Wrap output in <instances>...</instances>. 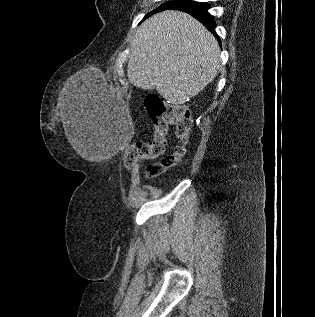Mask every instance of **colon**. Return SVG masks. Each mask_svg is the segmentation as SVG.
Returning <instances> with one entry per match:
<instances>
[{
    "instance_id": "1",
    "label": "colon",
    "mask_w": 315,
    "mask_h": 317,
    "mask_svg": "<svg viewBox=\"0 0 315 317\" xmlns=\"http://www.w3.org/2000/svg\"><path fill=\"white\" fill-rule=\"evenodd\" d=\"M145 107L153 124V134L150 142L131 144L126 151L125 162L129 165L140 160L152 159L162 155L165 151L166 139L171 127L179 141L175 152L162 161L150 164L147 167L148 176H157L166 169L177 164L188 144L192 119L188 110L181 106H167L157 96H148Z\"/></svg>"
}]
</instances>
